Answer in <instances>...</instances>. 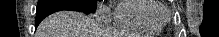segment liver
<instances>
[{"label":"liver","instance_id":"liver-1","mask_svg":"<svg viewBox=\"0 0 219 37\" xmlns=\"http://www.w3.org/2000/svg\"><path fill=\"white\" fill-rule=\"evenodd\" d=\"M37 37H101L98 23L91 17L62 10L45 18L37 29Z\"/></svg>","mask_w":219,"mask_h":37}]
</instances>
